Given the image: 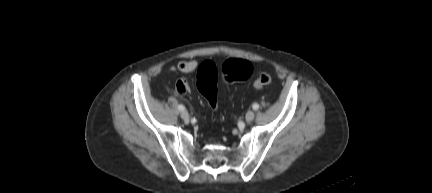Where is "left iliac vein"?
Masks as SVG:
<instances>
[{"label": "left iliac vein", "instance_id": "1", "mask_svg": "<svg viewBox=\"0 0 432 193\" xmlns=\"http://www.w3.org/2000/svg\"><path fill=\"white\" fill-rule=\"evenodd\" d=\"M254 118H255V112L253 110H249L245 115V119L248 122L252 121Z\"/></svg>", "mask_w": 432, "mask_h": 193}]
</instances>
